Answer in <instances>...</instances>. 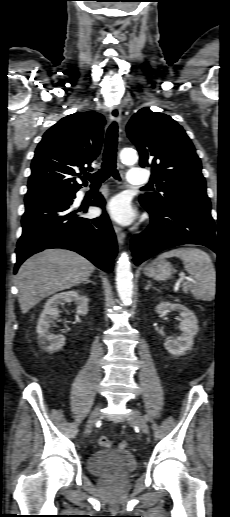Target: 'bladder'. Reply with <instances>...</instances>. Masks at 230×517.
<instances>
[{
    "label": "bladder",
    "mask_w": 230,
    "mask_h": 517,
    "mask_svg": "<svg viewBox=\"0 0 230 517\" xmlns=\"http://www.w3.org/2000/svg\"><path fill=\"white\" fill-rule=\"evenodd\" d=\"M137 465L136 458L125 451L106 449L95 452L88 459L89 471L97 476H126Z\"/></svg>",
    "instance_id": "bladder-1"
}]
</instances>
